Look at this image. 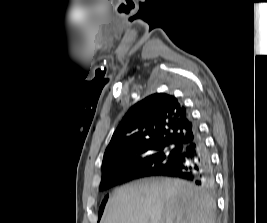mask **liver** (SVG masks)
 <instances>
[{"label": "liver", "instance_id": "liver-1", "mask_svg": "<svg viewBox=\"0 0 267 223\" xmlns=\"http://www.w3.org/2000/svg\"><path fill=\"white\" fill-rule=\"evenodd\" d=\"M216 203L203 189L171 178H149L115 190L102 223H215Z\"/></svg>", "mask_w": 267, "mask_h": 223}]
</instances>
